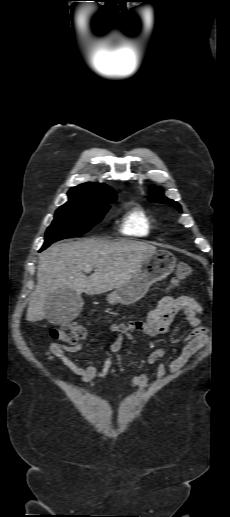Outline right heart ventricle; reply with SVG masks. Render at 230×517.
Here are the masks:
<instances>
[{"instance_id": "1", "label": "right heart ventricle", "mask_w": 230, "mask_h": 517, "mask_svg": "<svg viewBox=\"0 0 230 517\" xmlns=\"http://www.w3.org/2000/svg\"><path fill=\"white\" fill-rule=\"evenodd\" d=\"M159 230L157 219L140 207L131 208L122 218L121 232L128 236L151 237Z\"/></svg>"}]
</instances>
